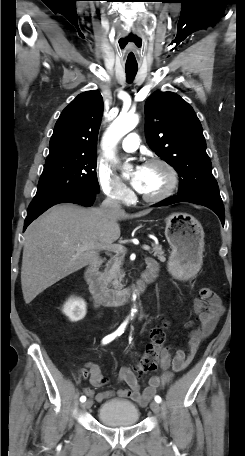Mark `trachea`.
<instances>
[{
    "label": "trachea",
    "mask_w": 245,
    "mask_h": 456,
    "mask_svg": "<svg viewBox=\"0 0 245 456\" xmlns=\"http://www.w3.org/2000/svg\"><path fill=\"white\" fill-rule=\"evenodd\" d=\"M125 70H126V78H127V81L130 83L133 81V79L135 78L136 76V73L138 71V67H129V66H126L125 67Z\"/></svg>",
    "instance_id": "3493384b"
}]
</instances>
